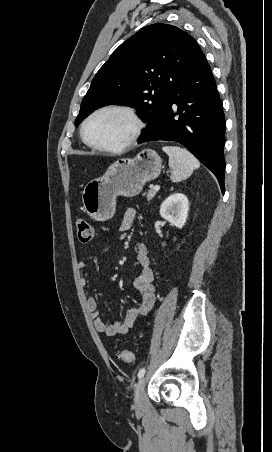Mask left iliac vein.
I'll return each mask as SVG.
<instances>
[{"label": "left iliac vein", "mask_w": 272, "mask_h": 452, "mask_svg": "<svg viewBox=\"0 0 272 452\" xmlns=\"http://www.w3.org/2000/svg\"><path fill=\"white\" fill-rule=\"evenodd\" d=\"M145 383V377H141L135 386L134 403L138 412L143 409Z\"/></svg>", "instance_id": "left-iliac-vein-1"}]
</instances>
